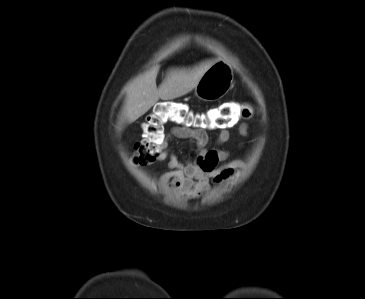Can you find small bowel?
I'll use <instances>...</instances> for the list:
<instances>
[{"label": "small bowel", "instance_id": "c3829d8e", "mask_svg": "<svg viewBox=\"0 0 365 299\" xmlns=\"http://www.w3.org/2000/svg\"><path fill=\"white\" fill-rule=\"evenodd\" d=\"M240 133L246 136L248 125L242 123L239 127ZM162 151L157 160H168L167 168L160 178V184L167 187L174 193L186 195L189 198H196L204 195L212 180L220 182L232 176L233 171L241 166L240 161H232L224 167H217L220 162L227 160L230 156L228 150L217 147H209V138L202 129H188L174 126L166 136ZM189 140L195 145V157L191 161H182L176 154L168 149L170 139ZM230 138L227 128L220 129L216 138V144L222 145Z\"/></svg>", "mask_w": 365, "mask_h": 299}]
</instances>
